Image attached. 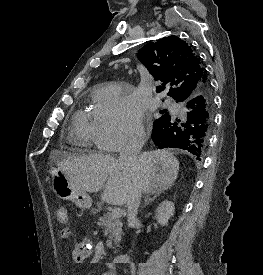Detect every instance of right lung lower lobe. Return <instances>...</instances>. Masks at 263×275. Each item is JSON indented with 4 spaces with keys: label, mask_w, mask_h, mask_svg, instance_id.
Masks as SVG:
<instances>
[{
    "label": "right lung lower lobe",
    "mask_w": 263,
    "mask_h": 275,
    "mask_svg": "<svg viewBox=\"0 0 263 275\" xmlns=\"http://www.w3.org/2000/svg\"><path fill=\"white\" fill-rule=\"evenodd\" d=\"M182 102L186 114L162 116L153 124L152 140L159 148H179L187 150L200 160L207 146L212 128L210 120L213 110L212 92L209 83L191 95L176 100Z\"/></svg>",
    "instance_id": "obj_1"
}]
</instances>
